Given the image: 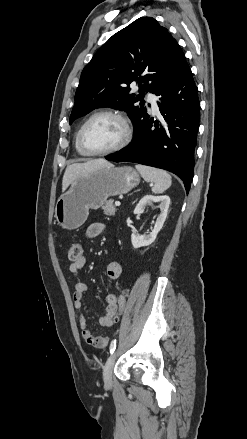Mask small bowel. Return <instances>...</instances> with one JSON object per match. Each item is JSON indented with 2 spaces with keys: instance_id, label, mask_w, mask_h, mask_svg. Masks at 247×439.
Returning <instances> with one entry per match:
<instances>
[{
  "instance_id": "c3829d8e",
  "label": "small bowel",
  "mask_w": 247,
  "mask_h": 439,
  "mask_svg": "<svg viewBox=\"0 0 247 439\" xmlns=\"http://www.w3.org/2000/svg\"><path fill=\"white\" fill-rule=\"evenodd\" d=\"M105 230V224L102 222H95L88 226L86 230V236L90 239L97 238L100 236ZM86 257L81 256L78 260L73 261L69 267V270L72 274H78L79 271L86 264ZM107 276L111 280H116L121 275V266L117 262H110L107 265ZM87 290V285L83 282H78L73 291V304L74 307L81 311L83 305V295ZM107 306L105 310V314L99 318V324L103 327H110L115 322V314L117 307V295L113 292H109L105 297ZM80 326H81V334L84 341L95 347V348H105L108 345L109 338L107 336H94L91 331L87 328L86 319L83 314H80Z\"/></svg>"
}]
</instances>
